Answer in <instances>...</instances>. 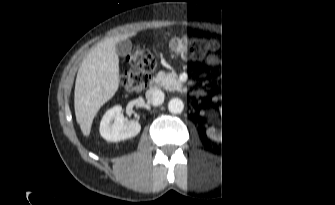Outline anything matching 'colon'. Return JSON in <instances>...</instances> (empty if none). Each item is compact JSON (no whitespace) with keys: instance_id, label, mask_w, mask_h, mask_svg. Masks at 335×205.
Instances as JSON below:
<instances>
[{"instance_id":"1","label":"colon","mask_w":335,"mask_h":205,"mask_svg":"<svg viewBox=\"0 0 335 205\" xmlns=\"http://www.w3.org/2000/svg\"><path fill=\"white\" fill-rule=\"evenodd\" d=\"M186 51L196 57H205L216 49V43L211 40L188 39L185 42ZM129 69L125 75L127 87L133 91L143 89L149 80L150 72L154 67V58L147 46L135 50L127 58ZM255 104L259 108H267L271 103V96L268 91L261 90L255 96Z\"/></svg>"}]
</instances>
